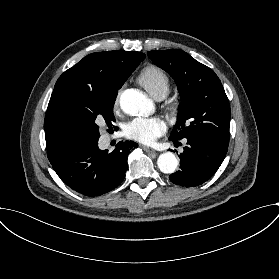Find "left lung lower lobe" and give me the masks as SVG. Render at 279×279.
Listing matches in <instances>:
<instances>
[{
  "mask_svg": "<svg viewBox=\"0 0 279 279\" xmlns=\"http://www.w3.org/2000/svg\"><path fill=\"white\" fill-rule=\"evenodd\" d=\"M187 146L179 155L180 170L171 174L172 183L194 187L208 180L223 162L229 140L212 135H196L185 138ZM169 140L179 143L170 137Z\"/></svg>",
  "mask_w": 279,
  "mask_h": 279,
  "instance_id": "left-lung-lower-lobe-1",
  "label": "left lung lower lobe"
}]
</instances>
